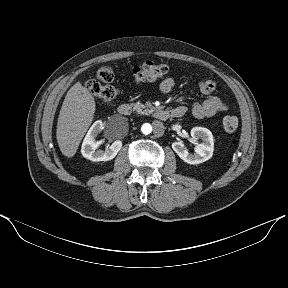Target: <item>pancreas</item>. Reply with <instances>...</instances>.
I'll return each mask as SVG.
<instances>
[{
    "label": "pancreas",
    "instance_id": "cf45deb5",
    "mask_svg": "<svg viewBox=\"0 0 288 288\" xmlns=\"http://www.w3.org/2000/svg\"><path fill=\"white\" fill-rule=\"evenodd\" d=\"M133 106V110L137 113V114H149L152 112V109H148L146 108L145 105H143L142 103L140 102H137V103H134L132 104Z\"/></svg>",
    "mask_w": 288,
    "mask_h": 288
}]
</instances>
